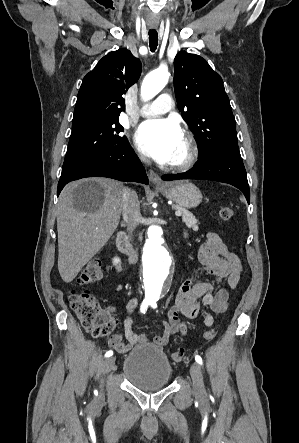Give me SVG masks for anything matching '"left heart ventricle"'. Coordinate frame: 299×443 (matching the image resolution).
Wrapping results in <instances>:
<instances>
[{
	"instance_id": "1",
	"label": "left heart ventricle",
	"mask_w": 299,
	"mask_h": 443,
	"mask_svg": "<svg viewBox=\"0 0 299 443\" xmlns=\"http://www.w3.org/2000/svg\"><path fill=\"white\" fill-rule=\"evenodd\" d=\"M187 150H188V148H187L186 140L183 139L180 146L177 149V153H176L173 163H177V162L182 161L187 154Z\"/></svg>"
}]
</instances>
